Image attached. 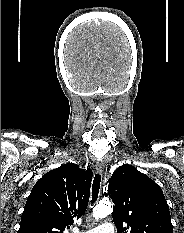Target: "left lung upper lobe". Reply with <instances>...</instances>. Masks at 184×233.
<instances>
[{"mask_svg":"<svg viewBox=\"0 0 184 233\" xmlns=\"http://www.w3.org/2000/svg\"><path fill=\"white\" fill-rule=\"evenodd\" d=\"M108 195L115 204L117 233H173L162 189L132 165H122L113 173Z\"/></svg>","mask_w":184,"mask_h":233,"instance_id":"5c2ea615","label":"left lung upper lobe"}]
</instances>
